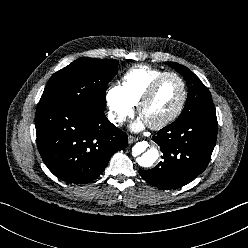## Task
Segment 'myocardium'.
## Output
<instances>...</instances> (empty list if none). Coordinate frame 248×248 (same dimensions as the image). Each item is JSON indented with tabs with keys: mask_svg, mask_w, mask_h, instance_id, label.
I'll use <instances>...</instances> for the list:
<instances>
[{
	"mask_svg": "<svg viewBox=\"0 0 248 248\" xmlns=\"http://www.w3.org/2000/svg\"><path fill=\"white\" fill-rule=\"evenodd\" d=\"M169 76H174L176 77L182 87V97L180 100L179 105L177 106V108L168 116H166L165 118L155 122V123H147L148 126L151 129L154 130H159L162 129L164 127H166L167 125H169L170 123H172L173 121H175L180 114L182 113L185 105H186V101H187V97H188V89H187V85L185 80L178 74L175 72H164L161 75H159L158 77H156L151 84L149 85L148 89L146 90V92L143 94L142 98L140 99L139 103H138V113L139 115L142 117V112L144 110V108L146 107V105L151 101V99L154 97L160 83Z\"/></svg>",
	"mask_w": 248,
	"mask_h": 248,
	"instance_id": "f54148a6",
	"label": "myocardium"
}]
</instances>
